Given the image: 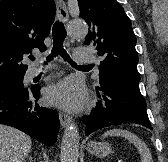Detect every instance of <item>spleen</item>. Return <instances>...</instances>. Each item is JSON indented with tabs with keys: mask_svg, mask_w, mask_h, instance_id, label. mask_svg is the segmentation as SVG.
Returning a JSON list of instances; mask_svg holds the SVG:
<instances>
[{
	"mask_svg": "<svg viewBox=\"0 0 168 162\" xmlns=\"http://www.w3.org/2000/svg\"><path fill=\"white\" fill-rule=\"evenodd\" d=\"M108 136L124 137L138 149L141 155V162H153L151 153L146 144L133 133L123 129H111L102 135L103 138Z\"/></svg>",
	"mask_w": 168,
	"mask_h": 162,
	"instance_id": "1",
	"label": "spleen"
}]
</instances>
